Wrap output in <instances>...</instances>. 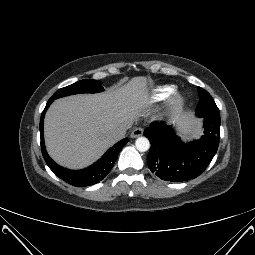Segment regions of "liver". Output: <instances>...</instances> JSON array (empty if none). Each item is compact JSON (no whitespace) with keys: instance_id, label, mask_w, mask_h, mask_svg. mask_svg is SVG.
<instances>
[{"instance_id":"liver-1","label":"liver","mask_w":255,"mask_h":255,"mask_svg":"<svg viewBox=\"0 0 255 255\" xmlns=\"http://www.w3.org/2000/svg\"><path fill=\"white\" fill-rule=\"evenodd\" d=\"M147 104L146 78L142 76L104 93L60 98L44 120L47 151L64 167L84 168L115 143L111 133L130 127ZM172 121L181 133H190L197 123L189 113H176Z\"/></svg>"}]
</instances>
